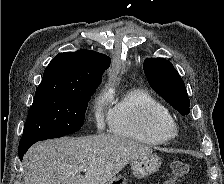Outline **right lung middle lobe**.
<instances>
[{
	"label": "right lung middle lobe",
	"mask_w": 224,
	"mask_h": 184,
	"mask_svg": "<svg viewBox=\"0 0 224 184\" xmlns=\"http://www.w3.org/2000/svg\"><path fill=\"white\" fill-rule=\"evenodd\" d=\"M94 92L95 89L74 93H35L19 147L80 130Z\"/></svg>",
	"instance_id": "right-lung-middle-lobe-1"
}]
</instances>
